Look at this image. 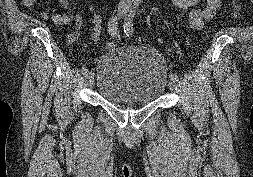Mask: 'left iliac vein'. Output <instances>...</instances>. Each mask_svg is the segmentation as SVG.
<instances>
[{"label": "left iliac vein", "mask_w": 253, "mask_h": 177, "mask_svg": "<svg viewBox=\"0 0 253 177\" xmlns=\"http://www.w3.org/2000/svg\"><path fill=\"white\" fill-rule=\"evenodd\" d=\"M168 86H169L171 91H174L177 88V83H176L175 80L170 79L169 83H168Z\"/></svg>", "instance_id": "obj_1"}]
</instances>
